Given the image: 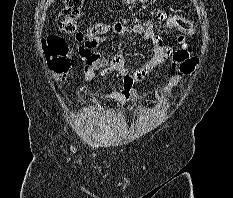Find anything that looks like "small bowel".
<instances>
[{"label": "small bowel", "instance_id": "c3829d8e", "mask_svg": "<svg viewBox=\"0 0 233 198\" xmlns=\"http://www.w3.org/2000/svg\"><path fill=\"white\" fill-rule=\"evenodd\" d=\"M159 20H164L163 13H158ZM111 30L116 35H133L145 37L152 46V56L146 61L144 65L137 69H130L127 66V59L122 54H115L113 56H104L100 51H94L101 39L99 38L96 45L92 48L80 47L79 54L85 63V77L86 79H94L99 76L117 72L121 75L123 86L120 91L99 94L98 97L102 100H112L116 105H121L127 102H135L139 96L136 90V83L145 79L152 74L156 69L163 66L168 60L177 65L180 58L178 54H188L186 50L174 51L170 46L164 43L162 35L173 30L165 29H149L143 24H135L133 26H126L122 22L115 21L111 25ZM182 38H180L181 40ZM181 76L179 74L173 75L168 81L167 86L156 96L171 92L180 82Z\"/></svg>", "mask_w": 233, "mask_h": 198}]
</instances>
